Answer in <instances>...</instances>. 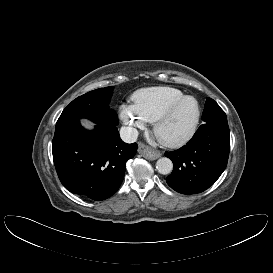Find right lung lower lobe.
Here are the masks:
<instances>
[{
	"label": "right lung lower lobe",
	"instance_id": "right-lung-lower-lobe-1",
	"mask_svg": "<svg viewBox=\"0 0 273 273\" xmlns=\"http://www.w3.org/2000/svg\"><path fill=\"white\" fill-rule=\"evenodd\" d=\"M84 129L79 120L55 128L52 153L58 177L72 193L100 201L120 187L126 162L137 144L124 143L116 125L96 123Z\"/></svg>",
	"mask_w": 273,
	"mask_h": 273
}]
</instances>
